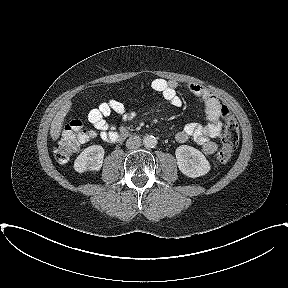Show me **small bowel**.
<instances>
[{
  "label": "small bowel",
  "instance_id": "c3829d8e",
  "mask_svg": "<svg viewBox=\"0 0 288 288\" xmlns=\"http://www.w3.org/2000/svg\"><path fill=\"white\" fill-rule=\"evenodd\" d=\"M178 83L173 80L156 78L151 83V88L162 95V97L174 107L183 104L181 96L178 94ZM185 87L196 97L200 98L204 105V111L208 123L200 125L198 123H188L176 134V141L185 143L190 138L193 139L206 154H213L217 150V144L213 139L221 134L222 119L228 111L227 107L210 90L199 84H186ZM112 113L122 116L123 120L129 121L134 118V112L126 111L122 102L117 99H110L91 110L88 114L89 122L99 131L102 140L116 143L125 136V129H117L107 122V117Z\"/></svg>",
  "mask_w": 288,
  "mask_h": 288
}]
</instances>
